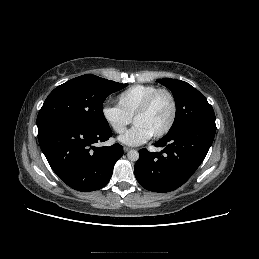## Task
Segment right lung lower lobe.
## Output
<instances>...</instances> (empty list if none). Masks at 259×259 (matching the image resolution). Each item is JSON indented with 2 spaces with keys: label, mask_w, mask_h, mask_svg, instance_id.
<instances>
[{
  "label": "right lung lower lobe",
  "mask_w": 259,
  "mask_h": 259,
  "mask_svg": "<svg viewBox=\"0 0 259 259\" xmlns=\"http://www.w3.org/2000/svg\"><path fill=\"white\" fill-rule=\"evenodd\" d=\"M112 136L110 127L94 128L72 121H57L38 129L42 152L57 176L82 191L103 188L110 180L123 147H94Z\"/></svg>",
  "instance_id": "right-lung-lower-lobe-1"
}]
</instances>
